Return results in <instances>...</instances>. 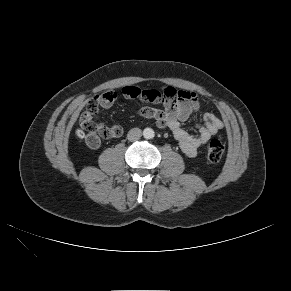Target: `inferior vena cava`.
I'll return each mask as SVG.
<instances>
[{"label":"inferior vena cava","instance_id":"1","mask_svg":"<svg viewBox=\"0 0 291 291\" xmlns=\"http://www.w3.org/2000/svg\"><path fill=\"white\" fill-rule=\"evenodd\" d=\"M141 136H142V131L139 128H132L131 130H129L127 134L128 140L132 142L139 140Z\"/></svg>","mask_w":291,"mask_h":291}]
</instances>
